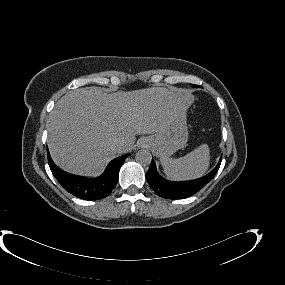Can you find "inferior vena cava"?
Masks as SVG:
<instances>
[{
    "mask_svg": "<svg viewBox=\"0 0 285 285\" xmlns=\"http://www.w3.org/2000/svg\"><path fill=\"white\" fill-rule=\"evenodd\" d=\"M124 146V143L123 142H119L118 144H117V148H122Z\"/></svg>",
    "mask_w": 285,
    "mask_h": 285,
    "instance_id": "obj_1",
    "label": "inferior vena cava"
}]
</instances>
